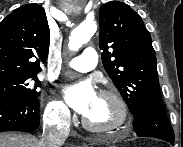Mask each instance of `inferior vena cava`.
<instances>
[{"mask_svg": "<svg viewBox=\"0 0 183 147\" xmlns=\"http://www.w3.org/2000/svg\"><path fill=\"white\" fill-rule=\"evenodd\" d=\"M69 121L56 126L47 124L43 128L42 138L40 139V147H61L69 134Z\"/></svg>", "mask_w": 183, "mask_h": 147, "instance_id": "602c4592", "label": "inferior vena cava"}]
</instances>
